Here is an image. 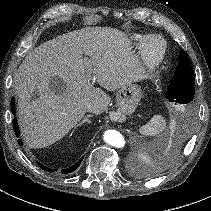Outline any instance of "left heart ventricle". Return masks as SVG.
Listing matches in <instances>:
<instances>
[{
    "instance_id": "b2bd125f",
    "label": "left heart ventricle",
    "mask_w": 211,
    "mask_h": 211,
    "mask_svg": "<svg viewBox=\"0 0 211 211\" xmlns=\"http://www.w3.org/2000/svg\"><path fill=\"white\" fill-rule=\"evenodd\" d=\"M150 47H151L152 50H157L158 43L156 41H151L150 42Z\"/></svg>"
}]
</instances>
